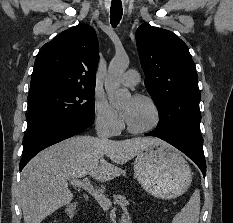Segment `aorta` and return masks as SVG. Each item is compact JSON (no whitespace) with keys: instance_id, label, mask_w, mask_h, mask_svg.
<instances>
[{"instance_id":"obj_1","label":"aorta","mask_w":233,"mask_h":223,"mask_svg":"<svg viewBox=\"0 0 233 223\" xmlns=\"http://www.w3.org/2000/svg\"><path fill=\"white\" fill-rule=\"evenodd\" d=\"M129 66V58H113L108 66V74L105 80V90L108 94L111 106H121L131 98L129 90L120 88L119 78Z\"/></svg>"}]
</instances>
